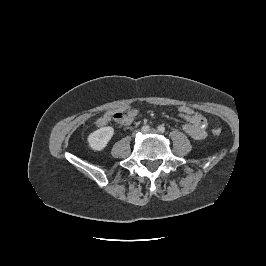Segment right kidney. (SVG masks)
Masks as SVG:
<instances>
[{
	"instance_id": "right-kidney-1",
	"label": "right kidney",
	"mask_w": 266,
	"mask_h": 266,
	"mask_svg": "<svg viewBox=\"0 0 266 266\" xmlns=\"http://www.w3.org/2000/svg\"><path fill=\"white\" fill-rule=\"evenodd\" d=\"M114 134V129L111 126L102 127L88 136V143L91 149L95 151L103 150Z\"/></svg>"
}]
</instances>
